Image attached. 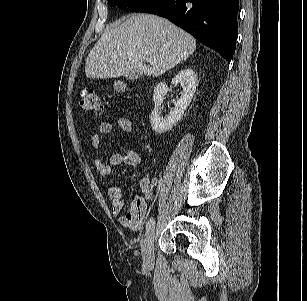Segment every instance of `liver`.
Masks as SVG:
<instances>
[{"label":"liver","instance_id":"obj_1","mask_svg":"<svg viewBox=\"0 0 307 301\" xmlns=\"http://www.w3.org/2000/svg\"><path fill=\"white\" fill-rule=\"evenodd\" d=\"M196 40L170 21L137 14L107 29L90 51L85 73L91 79L119 77L131 71L158 77L191 56ZM155 63L146 65V58Z\"/></svg>","mask_w":307,"mask_h":301}]
</instances>
